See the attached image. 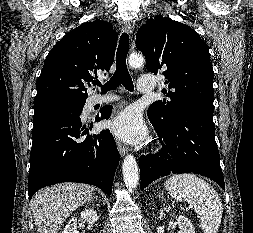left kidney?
<instances>
[{"instance_id": "obj_1", "label": "left kidney", "mask_w": 253, "mask_h": 233, "mask_svg": "<svg viewBox=\"0 0 253 233\" xmlns=\"http://www.w3.org/2000/svg\"><path fill=\"white\" fill-rule=\"evenodd\" d=\"M176 220L180 228V233H195V228L188 218L185 216H176Z\"/></svg>"}]
</instances>
